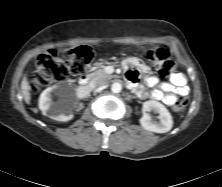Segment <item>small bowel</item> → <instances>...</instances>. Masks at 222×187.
<instances>
[{"mask_svg": "<svg viewBox=\"0 0 222 187\" xmlns=\"http://www.w3.org/2000/svg\"><path fill=\"white\" fill-rule=\"evenodd\" d=\"M132 63H129L127 67L126 78L129 82L136 85L138 82V73L131 66ZM144 83L148 86L158 85V88L153 91L139 90V96L144 99L150 98L161 101L166 105H174L179 95H187L189 92L186 78L182 73H175L171 77V82L162 83H159L157 77L147 73L144 75Z\"/></svg>", "mask_w": 222, "mask_h": 187, "instance_id": "c3829d8e", "label": "small bowel"}]
</instances>
